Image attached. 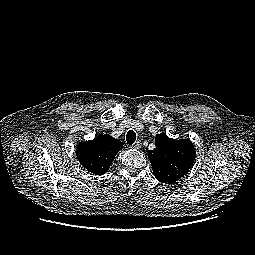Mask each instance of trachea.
I'll return each mask as SVG.
<instances>
[{"label": "trachea", "mask_w": 255, "mask_h": 255, "mask_svg": "<svg viewBox=\"0 0 255 255\" xmlns=\"http://www.w3.org/2000/svg\"><path fill=\"white\" fill-rule=\"evenodd\" d=\"M136 140V134L134 131L130 130L127 132V135H126V141L129 145H132L134 144Z\"/></svg>", "instance_id": "obj_1"}]
</instances>
